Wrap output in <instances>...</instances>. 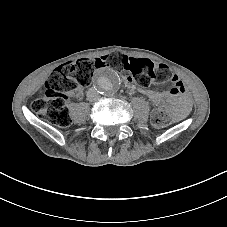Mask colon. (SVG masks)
<instances>
[{"label":"colon","instance_id":"obj_1","mask_svg":"<svg viewBox=\"0 0 227 227\" xmlns=\"http://www.w3.org/2000/svg\"><path fill=\"white\" fill-rule=\"evenodd\" d=\"M104 67L132 76L143 88L171 82L172 85L166 91L167 100L184 91L182 81L168 66L112 53L60 65L48 78L45 93L34 102V110L42 119L60 127H68L72 122L67 106L68 97L79 96L81 88L90 84L94 71ZM151 122L154 127L163 128L170 122V116L166 110L158 109L153 112Z\"/></svg>","mask_w":227,"mask_h":227}]
</instances>
